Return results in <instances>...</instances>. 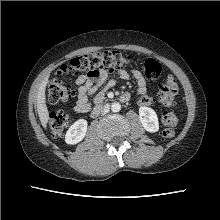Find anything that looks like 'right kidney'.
<instances>
[{
  "label": "right kidney",
  "mask_w": 220,
  "mask_h": 220,
  "mask_svg": "<svg viewBox=\"0 0 220 220\" xmlns=\"http://www.w3.org/2000/svg\"><path fill=\"white\" fill-rule=\"evenodd\" d=\"M87 132V121L85 119H79L73 123L66 132L65 142L67 144H77L81 142Z\"/></svg>",
  "instance_id": "obj_1"
}]
</instances>
